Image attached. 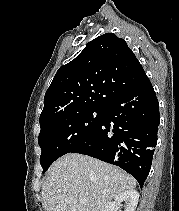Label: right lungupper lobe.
I'll list each match as a JSON object with an SVG mask.
<instances>
[{
    "mask_svg": "<svg viewBox=\"0 0 179 211\" xmlns=\"http://www.w3.org/2000/svg\"><path fill=\"white\" fill-rule=\"evenodd\" d=\"M144 75L125 40L113 33L101 35L57 71L45 93L40 127L65 115L106 108Z\"/></svg>",
    "mask_w": 179,
    "mask_h": 211,
    "instance_id": "1",
    "label": "right lung upper lobe"
}]
</instances>
